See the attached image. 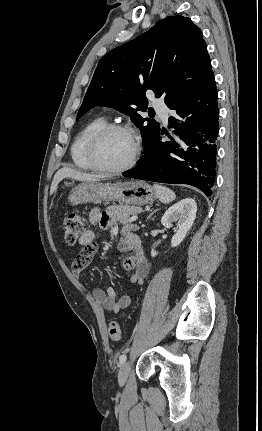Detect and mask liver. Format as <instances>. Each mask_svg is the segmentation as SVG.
Here are the masks:
<instances>
[{"instance_id":"6515ba94","label":"liver","mask_w":262,"mask_h":431,"mask_svg":"<svg viewBox=\"0 0 262 431\" xmlns=\"http://www.w3.org/2000/svg\"><path fill=\"white\" fill-rule=\"evenodd\" d=\"M65 178H71L82 182H92V181H100L101 179L105 178V176L84 173L68 167H63L59 169L54 175V178L52 180L51 187H50V195H52L55 192L58 184Z\"/></svg>"}]
</instances>
